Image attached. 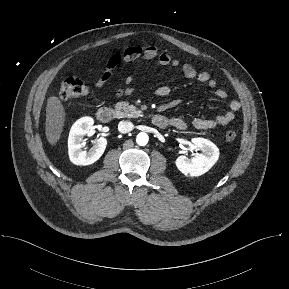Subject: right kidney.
Wrapping results in <instances>:
<instances>
[{"label":"right kidney","instance_id":"1","mask_svg":"<svg viewBox=\"0 0 289 289\" xmlns=\"http://www.w3.org/2000/svg\"><path fill=\"white\" fill-rule=\"evenodd\" d=\"M94 124L91 117H83L77 120L71 127L68 138V154L70 161L75 165H90L96 162L104 153L107 140L99 137L94 140L93 146L83 150L84 137L87 136Z\"/></svg>","mask_w":289,"mask_h":289}]
</instances>
